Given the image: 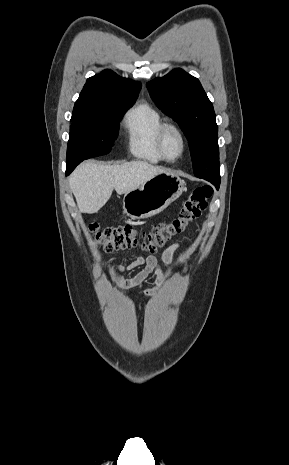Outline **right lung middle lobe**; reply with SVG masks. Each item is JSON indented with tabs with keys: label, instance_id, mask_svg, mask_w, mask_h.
Returning a JSON list of instances; mask_svg holds the SVG:
<instances>
[{
	"label": "right lung middle lobe",
	"instance_id": "obj_1",
	"mask_svg": "<svg viewBox=\"0 0 289 465\" xmlns=\"http://www.w3.org/2000/svg\"><path fill=\"white\" fill-rule=\"evenodd\" d=\"M118 101L108 104L95 120H71L67 147V162L83 161L107 154L118 136V123L134 104Z\"/></svg>",
	"mask_w": 289,
	"mask_h": 465
}]
</instances>
